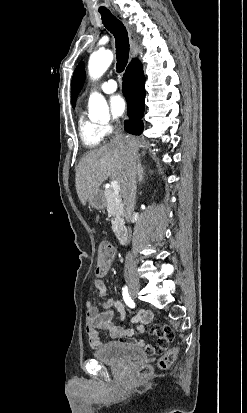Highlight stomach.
<instances>
[{
  "label": "stomach",
  "instance_id": "0dacf381",
  "mask_svg": "<svg viewBox=\"0 0 247 413\" xmlns=\"http://www.w3.org/2000/svg\"><path fill=\"white\" fill-rule=\"evenodd\" d=\"M88 202L90 204V207L92 209H98V211H101V209H104L107 204V200L105 198V194L103 190H95V192H92L88 198Z\"/></svg>",
  "mask_w": 247,
  "mask_h": 413
}]
</instances>
